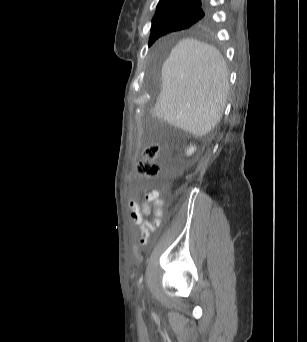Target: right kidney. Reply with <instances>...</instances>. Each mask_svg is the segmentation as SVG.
<instances>
[{
	"mask_svg": "<svg viewBox=\"0 0 307 342\" xmlns=\"http://www.w3.org/2000/svg\"><path fill=\"white\" fill-rule=\"evenodd\" d=\"M195 150H196L195 146H190V148H188L186 152L187 156H191V154H194Z\"/></svg>",
	"mask_w": 307,
	"mask_h": 342,
	"instance_id": "1",
	"label": "right kidney"
}]
</instances>
